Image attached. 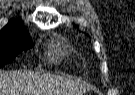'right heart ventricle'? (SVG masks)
Here are the masks:
<instances>
[{
	"label": "right heart ventricle",
	"instance_id": "right-heart-ventricle-1",
	"mask_svg": "<svg viewBox=\"0 0 135 95\" xmlns=\"http://www.w3.org/2000/svg\"><path fill=\"white\" fill-rule=\"evenodd\" d=\"M70 52L69 47L66 43L62 41H58L51 45L49 53L54 57V58H59L65 55H68Z\"/></svg>",
	"mask_w": 135,
	"mask_h": 95
}]
</instances>
